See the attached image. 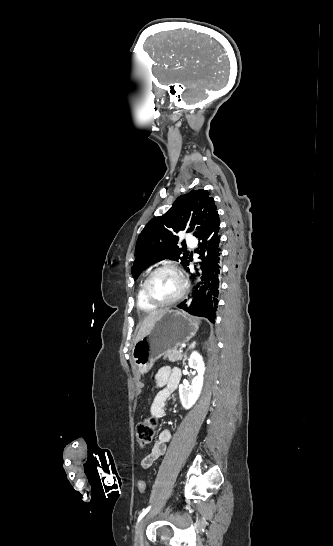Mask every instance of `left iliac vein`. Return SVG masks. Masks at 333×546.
Returning <instances> with one entry per match:
<instances>
[{
    "mask_svg": "<svg viewBox=\"0 0 333 546\" xmlns=\"http://www.w3.org/2000/svg\"><path fill=\"white\" fill-rule=\"evenodd\" d=\"M143 525L144 519L139 522L136 529L135 546H143Z\"/></svg>",
    "mask_w": 333,
    "mask_h": 546,
    "instance_id": "left-iliac-vein-1",
    "label": "left iliac vein"
}]
</instances>
